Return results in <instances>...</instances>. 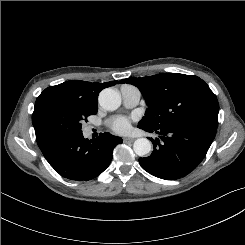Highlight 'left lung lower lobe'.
<instances>
[{"instance_id": "1", "label": "left lung lower lobe", "mask_w": 245, "mask_h": 245, "mask_svg": "<svg viewBox=\"0 0 245 245\" xmlns=\"http://www.w3.org/2000/svg\"><path fill=\"white\" fill-rule=\"evenodd\" d=\"M143 130L159 134L162 141L149 138L154 150L150 156L139 158L141 167L156 177L175 180L186 176L200 164L217 128L198 121H185L160 129Z\"/></svg>"}]
</instances>
